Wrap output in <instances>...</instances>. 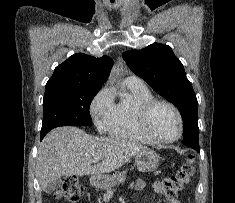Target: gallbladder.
Returning <instances> with one entry per match:
<instances>
[{"label": "gallbladder", "mask_w": 235, "mask_h": 203, "mask_svg": "<svg viewBox=\"0 0 235 203\" xmlns=\"http://www.w3.org/2000/svg\"><path fill=\"white\" fill-rule=\"evenodd\" d=\"M59 185H60V181H59V179H58V180L52 182V183L45 189V191H46L47 193H52L53 191H55V190L58 188Z\"/></svg>", "instance_id": "bac80fb5"}]
</instances>
